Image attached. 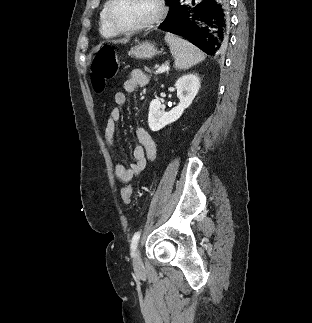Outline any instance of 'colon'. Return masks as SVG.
Here are the masks:
<instances>
[{
    "label": "colon",
    "instance_id": "1",
    "mask_svg": "<svg viewBox=\"0 0 312 323\" xmlns=\"http://www.w3.org/2000/svg\"><path fill=\"white\" fill-rule=\"evenodd\" d=\"M119 70V61L112 46L105 45L96 53L91 67V80L95 91L105 88L106 80L115 77ZM121 198L126 204L131 202L132 186L127 184L121 191Z\"/></svg>",
    "mask_w": 312,
    "mask_h": 323
}]
</instances>
